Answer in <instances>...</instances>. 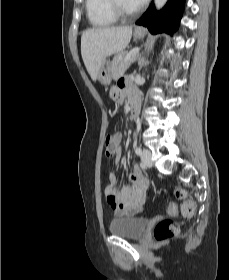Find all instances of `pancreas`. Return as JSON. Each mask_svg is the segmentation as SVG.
<instances>
[{
	"instance_id": "1",
	"label": "pancreas",
	"mask_w": 229,
	"mask_h": 280,
	"mask_svg": "<svg viewBox=\"0 0 229 280\" xmlns=\"http://www.w3.org/2000/svg\"><path fill=\"white\" fill-rule=\"evenodd\" d=\"M127 54V52H121L114 56L111 63V73L114 79L122 75L128 69L130 64L136 60L135 55L131 57L129 61H125Z\"/></svg>"
}]
</instances>
